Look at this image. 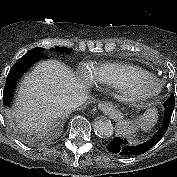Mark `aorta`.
<instances>
[{"label": "aorta", "instance_id": "1", "mask_svg": "<svg viewBox=\"0 0 177 177\" xmlns=\"http://www.w3.org/2000/svg\"><path fill=\"white\" fill-rule=\"evenodd\" d=\"M94 129L96 133L101 137H111L114 132L112 122L108 118H98L94 122Z\"/></svg>", "mask_w": 177, "mask_h": 177}]
</instances>
